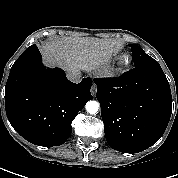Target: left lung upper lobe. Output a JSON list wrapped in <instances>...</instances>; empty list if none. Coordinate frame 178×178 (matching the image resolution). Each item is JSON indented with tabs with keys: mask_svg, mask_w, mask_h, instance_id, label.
Segmentation results:
<instances>
[{
	"mask_svg": "<svg viewBox=\"0 0 178 178\" xmlns=\"http://www.w3.org/2000/svg\"><path fill=\"white\" fill-rule=\"evenodd\" d=\"M129 46L131 47L132 50V59L134 62V66L142 63L156 61L152 57L147 55L140 46L135 44H129Z\"/></svg>",
	"mask_w": 178,
	"mask_h": 178,
	"instance_id": "obj_1",
	"label": "left lung upper lobe"
}]
</instances>
